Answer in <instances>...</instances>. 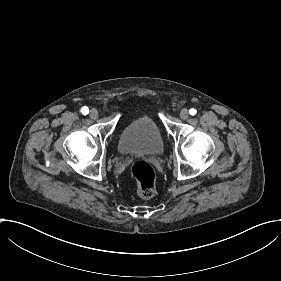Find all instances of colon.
<instances>
[{
    "instance_id": "colon-1",
    "label": "colon",
    "mask_w": 281,
    "mask_h": 281,
    "mask_svg": "<svg viewBox=\"0 0 281 281\" xmlns=\"http://www.w3.org/2000/svg\"><path fill=\"white\" fill-rule=\"evenodd\" d=\"M129 175L138 185L142 196L151 195L156 188V175L152 166L142 160L134 161L129 167Z\"/></svg>"
}]
</instances>
